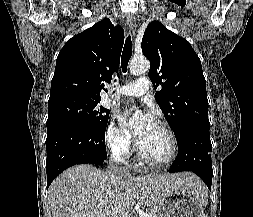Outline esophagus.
Returning <instances> with one entry per match:
<instances>
[{
    "label": "esophagus",
    "mask_w": 253,
    "mask_h": 217,
    "mask_svg": "<svg viewBox=\"0 0 253 217\" xmlns=\"http://www.w3.org/2000/svg\"><path fill=\"white\" fill-rule=\"evenodd\" d=\"M126 24H127L128 29L131 31L132 35H135L136 20L133 15H129L127 17Z\"/></svg>",
    "instance_id": "esophagus-1"
}]
</instances>
